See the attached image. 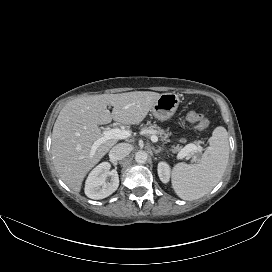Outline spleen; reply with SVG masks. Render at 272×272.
<instances>
[{"label":"spleen","mask_w":272,"mask_h":272,"mask_svg":"<svg viewBox=\"0 0 272 272\" xmlns=\"http://www.w3.org/2000/svg\"><path fill=\"white\" fill-rule=\"evenodd\" d=\"M229 159L227 130L223 126L214 129L209 147L199 163H177L172 171V187L183 200H195L209 193L221 180Z\"/></svg>","instance_id":"obj_1"}]
</instances>
